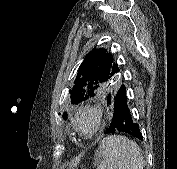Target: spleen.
Here are the masks:
<instances>
[{
    "label": "spleen",
    "mask_w": 177,
    "mask_h": 169,
    "mask_svg": "<svg viewBox=\"0 0 177 169\" xmlns=\"http://www.w3.org/2000/svg\"><path fill=\"white\" fill-rule=\"evenodd\" d=\"M97 169H143L144 162L138 144L120 135L101 140L95 154Z\"/></svg>",
    "instance_id": "obj_1"
}]
</instances>
